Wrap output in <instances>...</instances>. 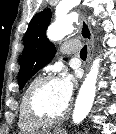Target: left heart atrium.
Wrapping results in <instances>:
<instances>
[{
    "label": "left heart atrium",
    "mask_w": 116,
    "mask_h": 134,
    "mask_svg": "<svg viewBox=\"0 0 116 134\" xmlns=\"http://www.w3.org/2000/svg\"><path fill=\"white\" fill-rule=\"evenodd\" d=\"M57 82H58V86H59L60 92H61L64 100L67 103H69L72 98L73 91H74L73 76L67 72H64L58 78Z\"/></svg>",
    "instance_id": "left-heart-atrium-1"
}]
</instances>
